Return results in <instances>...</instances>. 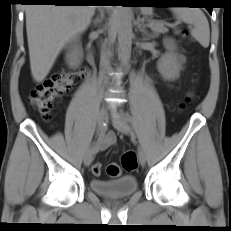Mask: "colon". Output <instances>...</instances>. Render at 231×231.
Returning a JSON list of instances; mask_svg holds the SVG:
<instances>
[{"instance_id":"obj_1","label":"colon","mask_w":231,"mask_h":231,"mask_svg":"<svg viewBox=\"0 0 231 231\" xmlns=\"http://www.w3.org/2000/svg\"><path fill=\"white\" fill-rule=\"evenodd\" d=\"M179 33L182 36H187L188 31L180 29ZM85 69H65L54 73L50 78L43 83L37 85L30 92V104L41 114L44 120L50 121L51 109L56 100L65 96L80 80L84 77ZM190 101V98L188 99ZM138 167L137 154L134 151H127L121 158V165L111 163L106 167V173L110 177H118L122 170L134 171ZM91 171L95 176L102 172L101 163H94Z\"/></svg>"}]
</instances>
